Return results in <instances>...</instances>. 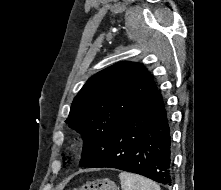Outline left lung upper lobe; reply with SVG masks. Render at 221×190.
I'll return each mask as SVG.
<instances>
[{"mask_svg": "<svg viewBox=\"0 0 221 190\" xmlns=\"http://www.w3.org/2000/svg\"><path fill=\"white\" fill-rule=\"evenodd\" d=\"M157 86L139 63L120 62L92 76L74 98L65 121L83 136L81 166L107 147L113 132L154 94Z\"/></svg>", "mask_w": 221, "mask_h": 190, "instance_id": "1", "label": "left lung upper lobe"}]
</instances>
